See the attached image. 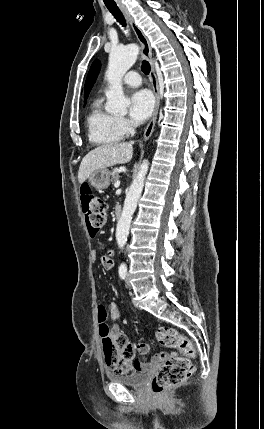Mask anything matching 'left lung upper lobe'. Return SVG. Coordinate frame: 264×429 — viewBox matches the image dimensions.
Listing matches in <instances>:
<instances>
[{
  "instance_id": "obj_1",
  "label": "left lung upper lobe",
  "mask_w": 264,
  "mask_h": 429,
  "mask_svg": "<svg viewBox=\"0 0 264 429\" xmlns=\"http://www.w3.org/2000/svg\"><path fill=\"white\" fill-rule=\"evenodd\" d=\"M100 67H101V64L98 60H95L91 65V68L89 70V73H88V76L86 79V83H85V94H84L85 103H86V99L90 93V90L96 81Z\"/></svg>"
}]
</instances>
